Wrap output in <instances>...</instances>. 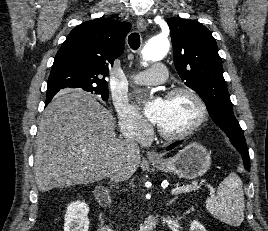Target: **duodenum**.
<instances>
[{
  "label": "duodenum",
  "mask_w": 268,
  "mask_h": 231,
  "mask_svg": "<svg viewBox=\"0 0 268 231\" xmlns=\"http://www.w3.org/2000/svg\"><path fill=\"white\" fill-rule=\"evenodd\" d=\"M96 197L102 204L109 203L111 199L110 192L107 189L98 190L96 192ZM156 224L157 218L154 215H149L146 220L140 225L137 231H152ZM98 231H114V228L111 225L103 223Z\"/></svg>",
  "instance_id": "410a0bca"
}]
</instances>
